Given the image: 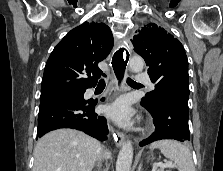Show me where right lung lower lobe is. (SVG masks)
<instances>
[{
	"instance_id": "obj_1",
	"label": "right lung lower lobe",
	"mask_w": 223,
	"mask_h": 171,
	"mask_svg": "<svg viewBox=\"0 0 223 171\" xmlns=\"http://www.w3.org/2000/svg\"><path fill=\"white\" fill-rule=\"evenodd\" d=\"M96 103L92 100L86 101L83 97H55L41 101L37 136L42 137L59 128H72L99 140H106L107 122L104 117L94 112Z\"/></svg>"
}]
</instances>
